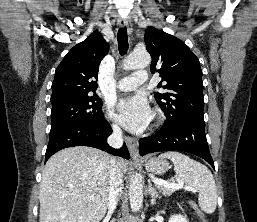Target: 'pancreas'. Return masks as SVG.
Returning <instances> with one entry per match:
<instances>
[{
  "label": "pancreas",
  "instance_id": "obj_1",
  "mask_svg": "<svg viewBox=\"0 0 257 222\" xmlns=\"http://www.w3.org/2000/svg\"><path fill=\"white\" fill-rule=\"evenodd\" d=\"M158 190L165 196H170L172 194V192L174 191L171 188L165 187V186H161V185H157Z\"/></svg>",
  "mask_w": 257,
  "mask_h": 222
}]
</instances>
